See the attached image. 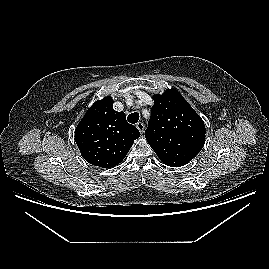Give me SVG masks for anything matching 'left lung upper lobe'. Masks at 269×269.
Here are the masks:
<instances>
[{
  "instance_id": "obj_1",
  "label": "left lung upper lobe",
  "mask_w": 269,
  "mask_h": 269,
  "mask_svg": "<svg viewBox=\"0 0 269 269\" xmlns=\"http://www.w3.org/2000/svg\"><path fill=\"white\" fill-rule=\"evenodd\" d=\"M153 99L145 131L147 142L165 165L183 166L204 146V122L177 90H167Z\"/></svg>"
}]
</instances>
